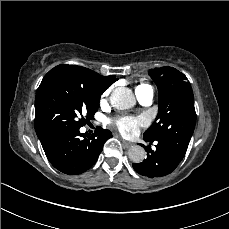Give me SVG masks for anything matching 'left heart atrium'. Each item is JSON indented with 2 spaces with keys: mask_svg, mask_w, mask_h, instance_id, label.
Wrapping results in <instances>:
<instances>
[{
  "mask_svg": "<svg viewBox=\"0 0 229 229\" xmlns=\"http://www.w3.org/2000/svg\"><path fill=\"white\" fill-rule=\"evenodd\" d=\"M112 124L125 136H135L142 128L147 126V121L142 117L121 116L115 118Z\"/></svg>",
  "mask_w": 229,
  "mask_h": 229,
  "instance_id": "1",
  "label": "left heart atrium"
}]
</instances>
